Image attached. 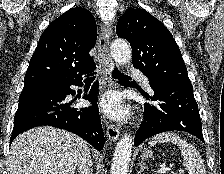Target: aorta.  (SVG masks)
Listing matches in <instances>:
<instances>
[{"label":"aorta","instance_id":"aorta-1","mask_svg":"<svg viewBox=\"0 0 224 174\" xmlns=\"http://www.w3.org/2000/svg\"><path fill=\"white\" fill-rule=\"evenodd\" d=\"M111 56L119 65H126L131 60V48L124 39H116L112 42ZM133 137L125 134L116 145L110 174H128L131 160Z\"/></svg>","mask_w":224,"mask_h":174}]
</instances>
